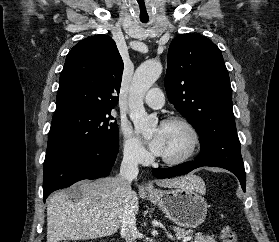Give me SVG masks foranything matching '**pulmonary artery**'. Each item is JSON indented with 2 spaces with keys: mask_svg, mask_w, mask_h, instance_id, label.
Here are the masks:
<instances>
[{
  "mask_svg": "<svg viewBox=\"0 0 279 242\" xmlns=\"http://www.w3.org/2000/svg\"><path fill=\"white\" fill-rule=\"evenodd\" d=\"M144 101L152 108H161L164 105V95L159 88H153L146 94Z\"/></svg>",
  "mask_w": 279,
  "mask_h": 242,
  "instance_id": "obj_1",
  "label": "pulmonary artery"
}]
</instances>
